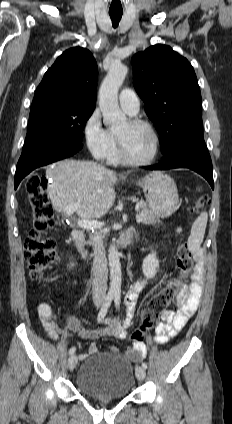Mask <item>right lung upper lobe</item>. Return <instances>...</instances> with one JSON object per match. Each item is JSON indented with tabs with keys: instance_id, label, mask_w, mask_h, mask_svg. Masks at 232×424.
Instances as JSON below:
<instances>
[{
	"instance_id": "obj_1",
	"label": "right lung upper lobe",
	"mask_w": 232,
	"mask_h": 424,
	"mask_svg": "<svg viewBox=\"0 0 232 424\" xmlns=\"http://www.w3.org/2000/svg\"><path fill=\"white\" fill-rule=\"evenodd\" d=\"M97 78V63L89 50H66L44 74L31 108L62 104L94 109Z\"/></svg>"
}]
</instances>
